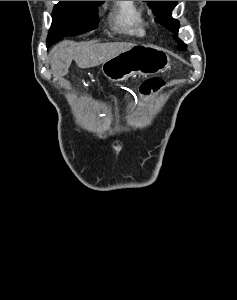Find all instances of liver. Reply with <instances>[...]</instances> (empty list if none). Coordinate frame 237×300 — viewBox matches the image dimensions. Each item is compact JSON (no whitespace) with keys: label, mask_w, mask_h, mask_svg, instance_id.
Returning <instances> with one entry per match:
<instances>
[{"label":"liver","mask_w":237,"mask_h":300,"mask_svg":"<svg viewBox=\"0 0 237 300\" xmlns=\"http://www.w3.org/2000/svg\"><path fill=\"white\" fill-rule=\"evenodd\" d=\"M69 45V43H63ZM132 47H136L134 43H79L77 47H54L50 51L51 69L53 75H67L68 69L74 59L80 69H89V67H97L102 65L108 59L130 51Z\"/></svg>","instance_id":"obj_1"}]
</instances>
